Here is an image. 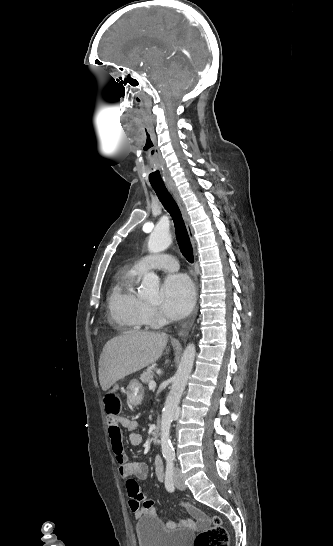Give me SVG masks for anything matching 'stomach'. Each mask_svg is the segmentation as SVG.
<instances>
[{"label":"stomach","mask_w":333,"mask_h":546,"mask_svg":"<svg viewBox=\"0 0 333 546\" xmlns=\"http://www.w3.org/2000/svg\"><path fill=\"white\" fill-rule=\"evenodd\" d=\"M143 393L144 389L142 385L138 381L133 380L126 388L127 401L131 405H138L143 398Z\"/></svg>","instance_id":"1"}]
</instances>
